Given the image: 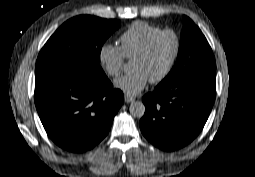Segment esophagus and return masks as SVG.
<instances>
[{
    "instance_id": "obj_1",
    "label": "esophagus",
    "mask_w": 255,
    "mask_h": 177,
    "mask_svg": "<svg viewBox=\"0 0 255 177\" xmlns=\"http://www.w3.org/2000/svg\"><path fill=\"white\" fill-rule=\"evenodd\" d=\"M134 100H135L134 98H132V97L126 95V94L124 95V102L125 103L133 102Z\"/></svg>"
}]
</instances>
